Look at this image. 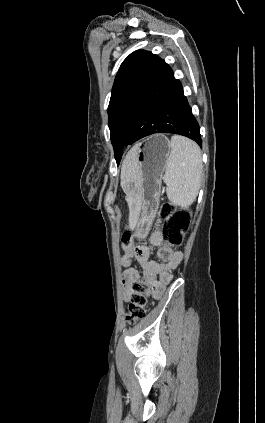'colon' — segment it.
Returning a JSON list of instances; mask_svg holds the SVG:
<instances>
[{
  "label": "colon",
  "instance_id": "5ec220e1",
  "mask_svg": "<svg viewBox=\"0 0 265 423\" xmlns=\"http://www.w3.org/2000/svg\"><path fill=\"white\" fill-rule=\"evenodd\" d=\"M192 214L186 209H177L173 205L166 203L159 211V223L164 246H179L182 244L184 236L191 227ZM123 251L128 253L133 248L132 235L125 232L122 235ZM147 298L144 294L143 283L133 286L130 295V304L126 313V321L134 325L142 320L146 315Z\"/></svg>",
  "mask_w": 265,
  "mask_h": 423
}]
</instances>
